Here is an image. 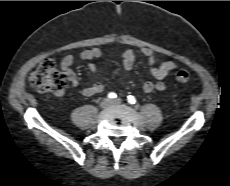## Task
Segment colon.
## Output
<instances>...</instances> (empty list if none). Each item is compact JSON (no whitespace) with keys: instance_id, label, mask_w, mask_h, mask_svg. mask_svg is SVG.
<instances>
[{"instance_id":"5ec220e1","label":"colon","mask_w":230,"mask_h":186,"mask_svg":"<svg viewBox=\"0 0 230 186\" xmlns=\"http://www.w3.org/2000/svg\"><path fill=\"white\" fill-rule=\"evenodd\" d=\"M174 78L177 82L186 83L191 75L188 71L179 70L175 72ZM30 85L39 92L54 95L63 92L67 86V77L61 73L53 60L46 59L40 62L29 77Z\"/></svg>"}]
</instances>
